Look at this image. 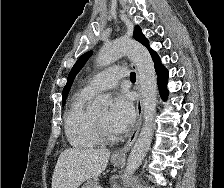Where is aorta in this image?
I'll return each instance as SVG.
<instances>
[{"mask_svg": "<svg viewBox=\"0 0 224 188\" xmlns=\"http://www.w3.org/2000/svg\"><path fill=\"white\" fill-rule=\"evenodd\" d=\"M124 55L128 56L137 67L144 113L141 132L128 157L124 173V179H126L139 167L152 142L157 103V82L154 63L149 51L131 39L119 38L105 44L100 49L96 62L100 66H108ZM109 102L110 100L106 96H98L94 100L92 108L94 110L106 109Z\"/></svg>", "mask_w": 224, "mask_h": 188, "instance_id": "obj_1", "label": "aorta"}]
</instances>
